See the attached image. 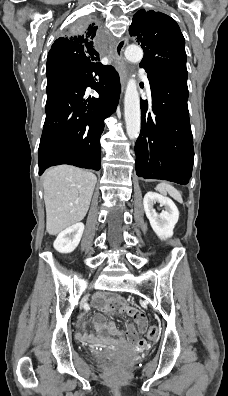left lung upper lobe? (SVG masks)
I'll return each instance as SVG.
<instances>
[{
    "label": "left lung upper lobe",
    "instance_id": "1",
    "mask_svg": "<svg viewBox=\"0 0 228 396\" xmlns=\"http://www.w3.org/2000/svg\"><path fill=\"white\" fill-rule=\"evenodd\" d=\"M144 51L140 67L164 71L187 82L185 39L176 21L153 10L136 12L129 27Z\"/></svg>",
    "mask_w": 228,
    "mask_h": 396
}]
</instances>
